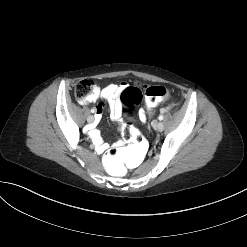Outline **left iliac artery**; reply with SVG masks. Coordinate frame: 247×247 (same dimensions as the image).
Here are the masks:
<instances>
[{
  "label": "left iliac artery",
  "mask_w": 247,
  "mask_h": 247,
  "mask_svg": "<svg viewBox=\"0 0 247 247\" xmlns=\"http://www.w3.org/2000/svg\"><path fill=\"white\" fill-rule=\"evenodd\" d=\"M163 115H160L159 117H158V119L161 121V120H163Z\"/></svg>",
  "instance_id": "obj_1"
}]
</instances>
